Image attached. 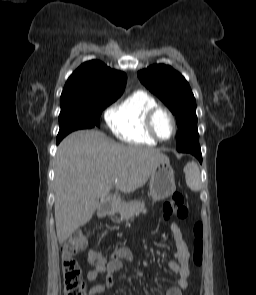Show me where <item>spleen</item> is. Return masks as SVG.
<instances>
[{"mask_svg":"<svg viewBox=\"0 0 256 295\" xmlns=\"http://www.w3.org/2000/svg\"><path fill=\"white\" fill-rule=\"evenodd\" d=\"M186 183L193 191H198L201 188L200 171L195 162H191L186 167Z\"/></svg>","mask_w":256,"mask_h":295,"instance_id":"spleen-1","label":"spleen"}]
</instances>
